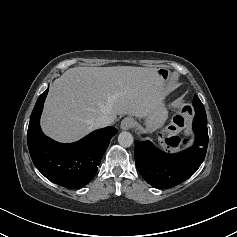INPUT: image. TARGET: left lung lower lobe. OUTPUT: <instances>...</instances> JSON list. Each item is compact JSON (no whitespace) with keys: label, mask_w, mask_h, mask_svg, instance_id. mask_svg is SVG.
I'll return each mask as SVG.
<instances>
[{"label":"left lung lower lobe","mask_w":237,"mask_h":237,"mask_svg":"<svg viewBox=\"0 0 237 237\" xmlns=\"http://www.w3.org/2000/svg\"><path fill=\"white\" fill-rule=\"evenodd\" d=\"M194 144L179 153L168 154L151 142L135 141V163L142 177L156 188H170L191 177L203 162L208 146L207 117L193 120Z\"/></svg>","instance_id":"obj_1"}]
</instances>
